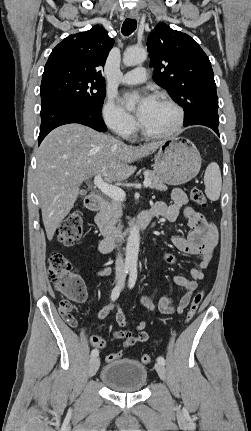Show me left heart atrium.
<instances>
[{
    "label": "left heart atrium",
    "instance_id": "obj_1",
    "mask_svg": "<svg viewBox=\"0 0 251 431\" xmlns=\"http://www.w3.org/2000/svg\"><path fill=\"white\" fill-rule=\"evenodd\" d=\"M133 96L132 95H126L123 98V102L124 103H130L132 101ZM154 99L151 96H142L138 103H137V115L139 117V119H141L146 113L147 111L152 107V105L154 104Z\"/></svg>",
    "mask_w": 251,
    "mask_h": 431
}]
</instances>
